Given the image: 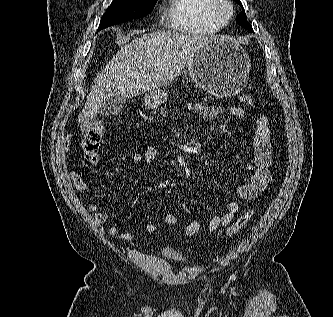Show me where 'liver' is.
Listing matches in <instances>:
<instances>
[{
    "label": "liver",
    "instance_id": "1",
    "mask_svg": "<svg viewBox=\"0 0 333 317\" xmlns=\"http://www.w3.org/2000/svg\"><path fill=\"white\" fill-rule=\"evenodd\" d=\"M213 38L157 31L127 43L97 75L78 123L90 125L102 103L113 96L132 98L174 81L202 45Z\"/></svg>",
    "mask_w": 333,
    "mask_h": 317
}]
</instances>
